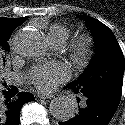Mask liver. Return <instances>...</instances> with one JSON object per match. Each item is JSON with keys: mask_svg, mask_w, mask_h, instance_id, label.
<instances>
[{"mask_svg": "<svg viewBox=\"0 0 125 125\" xmlns=\"http://www.w3.org/2000/svg\"><path fill=\"white\" fill-rule=\"evenodd\" d=\"M2 68H3V62H2L1 54H0V72L2 71Z\"/></svg>", "mask_w": 125, "mask_h": 125, "instance_id": "liver-1", "label": "liver"}]
</instances>
